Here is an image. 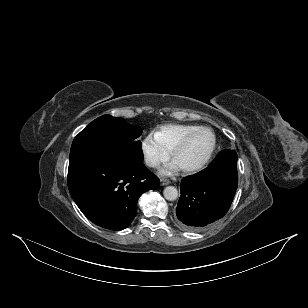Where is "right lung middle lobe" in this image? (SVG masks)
<instances>
[{
  "mask_svg": "<svg viewBox=\"0 0 308 308\" xmlns=\"http://www.w3.org/2000/svg\"><path fill=\"white\" fill-rule=\"evenodd\" d=\"M142 130L122 118L103 115L87 125L73 140L69 163L83 159L143 162Z\"/></svg>",
  "mask_w": 308,
  "mask_h": 308,
  "instance_id": "dd1d6c3e",
  "label": "right lung middle lobe"
}]
</instances>
